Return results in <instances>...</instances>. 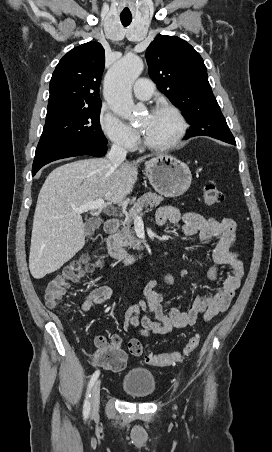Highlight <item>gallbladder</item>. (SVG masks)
<instances>
[{
  "instance_id": "bac80fb5",
  "label": "gallbladder",
  "mask_w": 272,
  "mask_h": 452,
  "mask_svg": "<svg viewBox=\"0 0 272 452\" xmlns=\"http://www.w3.org/2000/svg\"><path fill=\"white\" fill-rule=\"evenodd\" d=\"M99 227H100V222L98 220L90 219L85 223V234L90 236Z\"/></svg>"
}]
</instances>
